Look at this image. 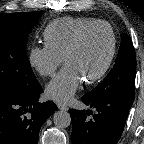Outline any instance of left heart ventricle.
I'll return each mask as SVG.
<instances>
[{
  "label": "left heart ventricle",
  "mask_w": 144,
  "mask_h": 144,
  "mask_svg": "<svg viewBox=\"0 0 144 144\" xmlns=\"http://www.w3.org/2000/svg\"><path fill=\"white\" fill-rule=\"evenodd\" d=\"M111 49L108 28L100 27L89 32L78 49L70 56L68 65L73 66L83 80L97 74L106 62Z\"/></svg>",
  "instance_id": "obj_1"
}]
</instances>
